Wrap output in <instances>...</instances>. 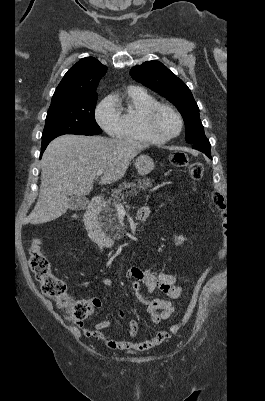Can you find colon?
<instances>
[{
    "mask_svg": "<svg viewBox=\"0 0 265 401\" xmlns=\"http://www.w3.org/2000/svg\"><path fill=\"white\" fill-rule=\"evenodd\" d=\"M172 163L176 167H188L190 180L196 182L200 180L203 176V166L199 162H191L187 154L183 152H175L171 156ZM211 200L221 213L226 212V204L224 197L213 192L211 194ZM31 257H30V267L34 273L37 281L41 285L42 292L49 298L56 300L59 305L66 311L67 316L70 320L75 323L82 324L94 311L95 307H98L99 301L97 299H82L73 300L68 293L66 283L55 276L51 271V265L43 253L40 247L39 239L35 238L31 241ZM224 256V249L219 252V257ZM208 276V270L203 272L198 278L194 288L191 300L188 304L184 317L181 323L172 326L169 331H166V336L169 338L171 334L176 333L182 326H184L191 318L199 291Z\"/></svg>",
    "mask_w": 265,
    "mask_h": 401,
    "instance_id": "obj_1",
    "label": "colon"
}]
</instances>
